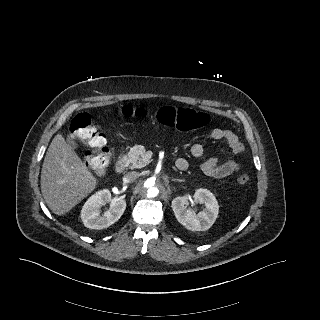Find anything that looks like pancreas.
<instances>
[{
	"label": "pancreas",
	"mask_w": 320,
	"mask_h": 320,
	"mask_svg": "<svg viewBox=\"0 0 320 320\" xmlns=\"http://www.w3.org/2000/svg\"><path fill=\"white\" fill-rule=\"evenodd\" d=\"M145 155V148L141 145H136L123 157V162L130 169L143 168L149 163Z\"/></svg>",
	"instance_id": "pancreas-1"
}]
</instances>
